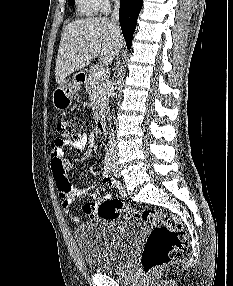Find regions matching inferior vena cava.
<instances>
[{
	"label": "inferior vena cava",
	"instance_id": "inferior-vena-cava-1",
	"mask_svg": "<svg viewBox=\"0 0 233 286\" xmlns=\"http://www.w3.org/2000/svg\"><path fill=\"white\" fill-rule=\"evenodd\" d=\"M119 7H120V0H115L114 10H113V13L111 15V21L112 22L118 23Z\"/></svg>",
	"mask_w": 233,
	"mask_h": 286
}]
</instances>
